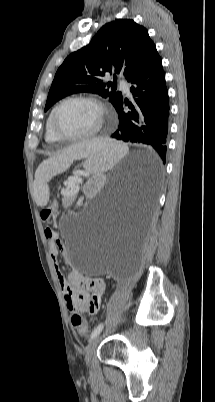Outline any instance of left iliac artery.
Here are the masks:
<instances>
[{
	"mask_svg": "<svg viewBox=\"0 0 215 402\" xmlns=\"http://www.w3.org/2000/svg\"><path fill=\"white\" fill-rule=\"evenodd\" d=\"M103 326H104L103 323H100L98 326H96L94 328V330L92 331V334H91V339L96 337L102 331Z\"/></svg>",
	"mask_w": 215,
	"mask_h": 402,
	"instance_id": "1",
	"label": "left iliac artery"
}]
</instances>
